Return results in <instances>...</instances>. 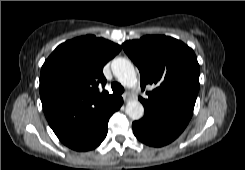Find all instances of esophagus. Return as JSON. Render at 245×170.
Wrapping results in <instances>:
<instances>
[{
	"mask_svg": "<svg viewBox=\"0 0 245 170\" xmlns=\"http://www.w3.org/2000/svg\"><path fill=\"white\" fill-rule=\"evenodd\" d=\"M122 97H123L124 101H128V100L131 98L129 92L123 93V94H122Z\"/></svg>",
	"mask_w": 245,
	"mask_h": 170,
	"instance_id": "1",
	"label": "esophagus"
}]
</instances>
